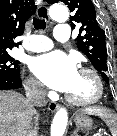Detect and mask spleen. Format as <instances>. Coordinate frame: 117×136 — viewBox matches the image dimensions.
I'll return each mask as SVG.
<instances>
[{"label": "spleen", "instance_id": "3e777b00", "mask_svg": "<svg viewBox=\"0 0 117 136\" xmlns=\"http://www.w3.org/2000/svg\"><path fill=\"white\" fill-rule=\"evenodd\" d=\"M88 115H95L100 117L109 128L112 136H117V116L111 113L108 109L92 106L84 109Z\"/></svg>", "mask_w": 117, "mask_h": 136}]
</instances>
